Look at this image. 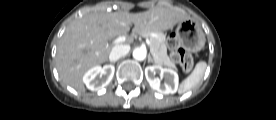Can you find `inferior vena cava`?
Wrapping results in <instances>:
<instances>
[{"mask_svg": "<svg viewBox=\"0 0 276 120\" xmlns=\"http://www.w3.org/2000/svg\"><path fill=\"white\" fill-rule=\"evenodd\" d=\"M129 51V45H116L112 48L111 53L109 55V59L111 62H115L119 58L126 56L129 53Z\"/></svg>", "mask_w": 276, "mask_h": 120, "instance_id": "602c4592", "label": "inferior vena cava"}]
</instances>
